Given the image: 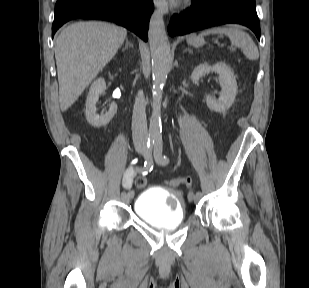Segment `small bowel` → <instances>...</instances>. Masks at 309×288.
<instances>
[{
	"instance_id": "obj_1",
	"label": "small bowel",
	"mask_w": 309,
	"mask_h": 288,
	"mask_svg": "<svg viewBox=\"0 0 309 288\" xmlns=\"http://www.w3.org/2000/svg\"><path fill=\"white\" fill-rule=\"evenodd\" d=\"M136 175V170L133 167L128 168L123 176V186L129 188L132 186L133 179Z\"/></svg>"
}]
</instances>
